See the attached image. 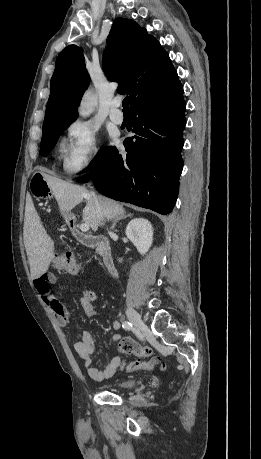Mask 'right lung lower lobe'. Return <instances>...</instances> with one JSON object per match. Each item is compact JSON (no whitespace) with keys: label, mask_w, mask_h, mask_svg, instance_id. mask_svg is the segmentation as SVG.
<instances>
[{"label":"right lung lower lobe","mask_w":261,"mask_h":459,"mask_svg":"<svg viewBox=\"0 0 261 459\" xmlns=\"http://www.w3.org/2000/svg\"><path fill=\"white\" fill-rule=\"evenodd\" d=\"M185 109L180 81L165 93L133 106L136 135L123 142L127 153L108 147L96 169L78 181L96 178L98 192L109 198L162 215L170 213L183 168Z\"/></svg>","instance_id":"1"}]
</instances>
